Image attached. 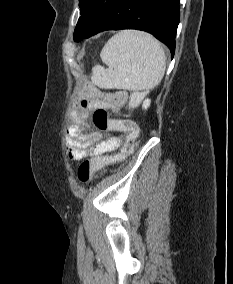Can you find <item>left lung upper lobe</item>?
<instances>
[{
  "label": "left lung upper lobe",
  "mask_w": 233,
  "mask_h": 284,
  "mask_svg": "<svg viewBox=\"0 0 233 284\" xmlns=\"http://www.w3.org/2000/svg\"><path fill=\"white\" fill-rule=\"evenodd\" d=\"M107 0H79L81 17L74 31V40L80 41L91 28L100 8Z\"/></svg>",
  "instance_id": "left-lung-upper-lobe-1"
}]
</instances>
